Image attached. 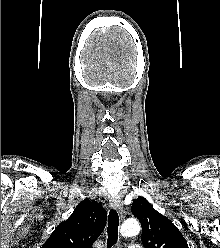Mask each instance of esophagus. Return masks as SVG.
Returning a JSON list of instances; mask_svg holds the SVG:
<instances>
[{
	"instance_id": "esophagus-1",
	"label": "esophagus",
	"mask_w": 220,
	"mask_h": 248,
	"mask_svg": "<svg viewBox=\"0 0 220 248\" xmlns=\"http://www.w3.org/2000/svg\"><path fill=\"white\" fill-rule=\"evenodd\" d=\"M110 204H111L112 208L119 211V213L123 214L124 207H123V203L119 197H112L110 199Z\"/></svg>"
}]
</instances>
